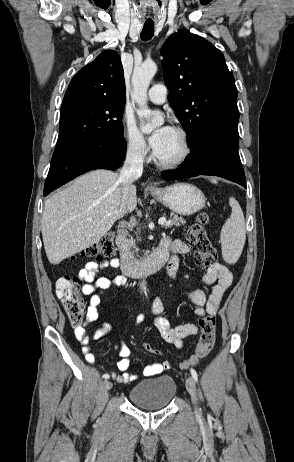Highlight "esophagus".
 Wrapping results in <instances>:
<instances>
[{"label":"esophagus","instance_id":"obj_1","mask_svg":"<svg viewBox=\"0 0 294 462\" xmlns=\"http://www.w3.org/2000/svg\"><path fill=\"white\" fill-rule=\"evenodd\" d=\"M148 189H149V190H154L155 188H154L153 185L149 184V185H148Z\"/></svg>","mask_w":294,"mask_h":462}]
</instances>
